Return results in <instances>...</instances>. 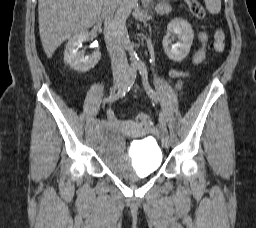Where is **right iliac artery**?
Masks as SVG:
<instances>
[{"mask_svg": "<svg viewBox=\"0 0 256 228\" xmlns=\"http://www.w3.org/2000/svg\"><path fill=\"white\" fill-rule=\"evenodd\" d=\"M136 76H137V66H132L129 70V74H128V77L126 78L125 83L119 88L116 94H110V96L106 98L105 102L112 103L117 99L124 97L125 94L130 90V88L134 84ZM99 124H100L99 119H95L93 121L94 126L98 127Z\"/></svg>", "mask_w": 256, "mask_h": 228, "instance_id": "obj_1", "label": "right iliac artery"}]
</instances>
